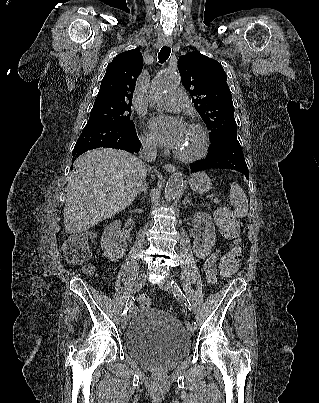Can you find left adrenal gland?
I'll return each instance as SVG.
<instances>
[{"label": "left adrenal gland", "mask_w": 319, "mask_h": 403, "mask_svg": "<svg viewBox=\"0 0 319 403\" xmlns=\"http://www.w3.org/2000/svg\"><path fill=\"white\" fill-rule=\"evenodd\" d=\"M189 196H190V194L188 193V195L185 197V199H184V201H183V205H186L187 203L188 204H191V202L189 201Z\"/></svg>", "instance_id": "obj_1"}]
</instances>
